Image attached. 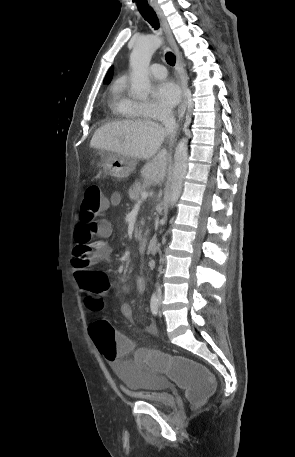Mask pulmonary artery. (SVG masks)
Segmentation results:
<instances>
[{
    "label": "pulmonary artery",
    "instance_id": "obj_1",
    "mask_svg": "<svg viewBox=\"0 0 295 457\" xmlns=\"http://www.w3.org/2000/svg\"><path fill=\"white\" fill-rule=\"evenodd\" d=\"M150 74L155 78H164L167 75L166 68L161 64H153L151 65Z\"/></svg>",
    "mask_w": 295,
    "mask_h": 457
}]
</instances>
